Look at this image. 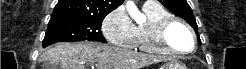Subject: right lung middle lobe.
<instances>
[{"instance_id":"right-lung-middle-lobe-1","label":"right lung middle lobe","mask_w":246,"mask_h":69,"mask_svg":"<svg viewBox=\"0 0 246 69\" xmlns=\"http://www.w3.org/2000/svg\"><path fill=\"white\" fill-rule=\"evenodd\" d=\"M105 17L51 18L43 40V47L57 42L97 41L106 43L101 32Z\"/></svg>"}]
</instances>
